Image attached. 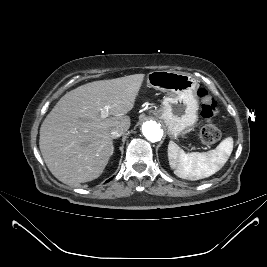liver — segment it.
Returning <instances> with one entry per match:
<instances>
[{
  "label": "liver",
  "instance_id": "liver-1",
  "mask_svg": "<svg viewBox=\"0 0 267 267\" xmlns=\"http://www.w3.org/2000/svg\"><path fill=\"white\" fill-rule=\"evenodd\" d=\"M144 74L84 84L67 92L40 127L39 147L50 172L69 185L98 178L113 153L112 128L130 127ZM108 108L110 117L101 118Z\"/></svg>",
  "mask_w": 267,
  "mask_h": 267
}]
</instances>
